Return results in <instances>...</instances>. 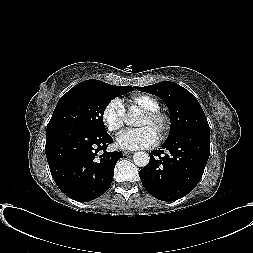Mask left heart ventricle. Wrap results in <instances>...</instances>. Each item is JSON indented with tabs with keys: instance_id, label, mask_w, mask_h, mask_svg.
<instances>
[{
	"instance_id": "obj_1",
	"label": "left heart ventricle",
	"mask_w": 253,
	"mask_h": 253,
	"mask_svg": "<svg viewBox=\"0 0 253 253\" xmlns=\"http://www.w3.org/2000/svg\"><path fill=\"white\" fill-rule=\"evenodd\" d=\"M139 127L140 128L151 127L158 133V129L155 126V124L145 115L142 116L139 123Z\"/></svg>"
}]
</instances>
